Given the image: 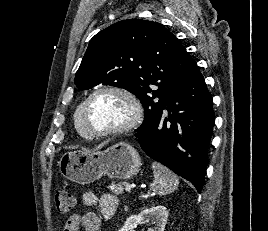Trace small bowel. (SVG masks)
Instances as JSON below:
<instances>
[{"instance_id":"small-bowel-1","label":"small bowel","mask_w":268,"mask_h":231,"mask_svg":"<svg viewBox=\"0 0 268 231\" xmlns=\"http://www.w3.org/2000/svg\"><path fill=\"white\" fill-rule=\"evenodd\" d=\"M85 206H98L100 215L94 212L74 214L66 222L63 231H98L103 220L112 217L118 207V199L111 194H104L100 198L92 191H85L81 196Z\"/></svg>"}]
</instances>
